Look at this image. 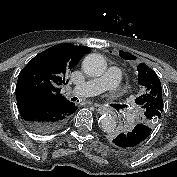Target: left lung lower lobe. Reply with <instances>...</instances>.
Listing matches in <instances>:
<instances>
[{
  "label": "left lung lower lobe",
  "instance_id": "left-lung-lower-lobe-1",
  "mask_svg": "<svg viewBox=\"0 0 177 177\" xmlns=\"http://www.w3.org/2000/svg\"><path fill=\"white\" fill-rule=\"evenodd\" d=\"M152 129L143 123L137 124L129 131H123L112 136V143L121 148H133L143 143Z\"/></svg>",
  "mask_w": 177,
  "mask_h": 177
}]
</instances>
